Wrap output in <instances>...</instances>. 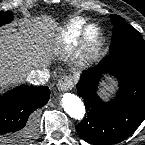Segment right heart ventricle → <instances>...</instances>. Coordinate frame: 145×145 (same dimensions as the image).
Segmentation results:
<instances>
[{
  "label": "right heart ventricle",
  "instance_id": "e07e8e85",
  "mask_svg": "<svg viewBox=\"0 0 145 145\" xmlns=\"http://www.w3.org/2000/svg\"><path fill=\"white\" fill-rule=\"evenodd\" d=\"M85 21L81 18L70 20L54 36L52 41V52L61 55L69 52L78 42Z\"/></svg>",
  "mask_w": 145,
  "mask_h": 145
}]
</instances>
